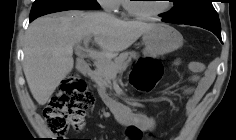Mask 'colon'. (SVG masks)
Masks as SVG:
<instances>
[{
	"label": "colon",
	"mask_w": 236,
	"mask_h": 140,
	"mask_svg": "<svg viewBox=\"0 0 236 140\" xmlns=\"http://www.w3.org/2000/svg\"><path fill=\"white\" fill-rule=\"evenodd\" d=\"M162 73L163 67L158 60L142 58L131 71V83L139 91L150 92L156 87ZM94 102L93 93L87 89L80 76L77 73L69 74L44 109L49 130L57 136H64L70 127L82 128L85 113ZM127 134L131 140H138L142 136V129L132 123Z\"/></svg>",
	"instance_id": "obj_1"
}]
</instances>
